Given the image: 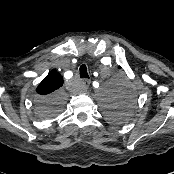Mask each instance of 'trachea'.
<instances>
[{
  "mask_svg": "<svg viewBox=\"0 0 174 174\" xmlns=\"http://www.w3.org/2000/svg\"><path fill=\"white\" fill-rule=\"evenodd\" d=\"M80 78H89L87 67L85 64L80 66Z\"/></svg>",
  "mask_w": 174,
  "mask_h": 174,
  "instance_id": "1",
  "label": "trachea"
}]
</instances>
